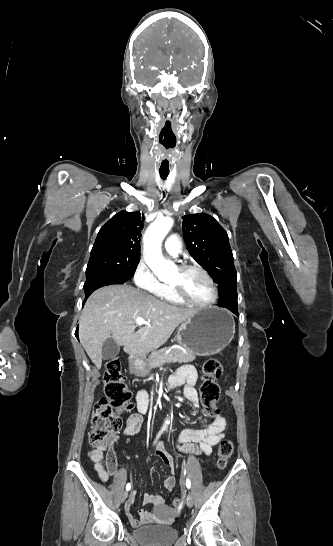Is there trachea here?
Returning a JSON list of instances; mask_svg holds the SVG:
<instances>
[{"label": "trachea", "mask_w": 333, "mask_h": 546, "mask_svg": "<svg viewBox=\"0 0 333 546\" xmlns=\"http://www.w3.org/2000/svg\"><path fill=\"white\" fill-rule=\"evenodd\" d=\"M169 172H160V176L162 178V180H165L168 176Z\"/></svg>", "instance_id": "3493384b"}]
</instances>
